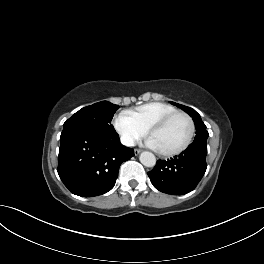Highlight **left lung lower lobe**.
Masks as SVG:
<instances>
[{
	"mask_svg": "<svg viewBox=\"0 0 264 264\" xmlns=\"http://www.w3.org/2000/svg\"><path fill=\"white\" fill-rule=\"evenodd\" d=\"M207 144L192 143L179 156L158 160L148 172L153 186L159 191L183 195L192 191L205 174Z\"/></svg>",
	"mask_w": 264,
	"mask_h": 264,
	"instance_id": "1",
	"label": "left lung lower lobe"
}]
</instances>
